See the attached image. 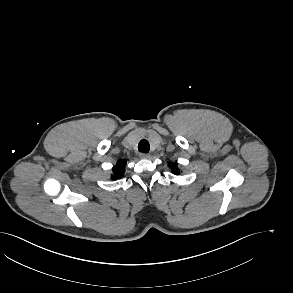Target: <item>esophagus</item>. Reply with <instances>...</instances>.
<instances>
[{"instance_id":"34e87169","label":"esophagus","mask_w":293,"mask_h":293,"mask_svg":"<svg viewBox=\"0 0 293 293\" xmlns=\"http://www.w3.org/2000/svg\"><path fill=\"white\" fill-rule=\"evenodd\" d=\"M139 157H140L141 159H148V158L150 157V155H149V154H146V153H140V154H139Z\"/></svg>"}]
</instances>
